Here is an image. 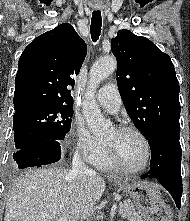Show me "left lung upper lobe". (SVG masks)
Returning <instances> with one entry per match:
<instances>
[{
	"label": "left lung upper lobe",
	"mask_w": 190,
	"mask_h": 221,
	"mask_svg": "<svg viewBox=\"0 0 190 221\" xmlns=\"http://www.w3.org/2000/svg\"><path fill=\"white\" fill-rule=\"evenodd\" d=\"M111 50L125 108L146 139L164 128L180 129V88L169 55L128 30L118 31Z\"/></svg>",
	"instance_id": "obj_1"
}]
</instances>
